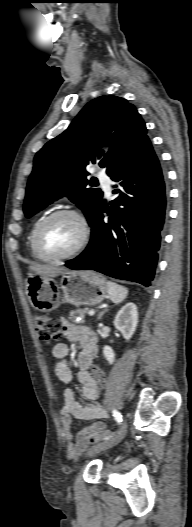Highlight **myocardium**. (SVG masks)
<instances>
[{"label":"myocardium","instance_id":"obj_1","mask_svg":"<svg viewBox=\"0 0 192 527\" xmlns=\"http://www.w3.org/2000/svg\"><path fill=\"white\" fill-rule=\"evenodd\" d=\"M62 215L73 216L74 218L78 220L81 226L80 240L77 243V245L70 252L66 254L58 255V256L48 255L43 251L42 246H41V233L43 229L45 228V226L52 219L58 216H62ZM90 234H91L90 224L86 216L80 210L75 209V208H60V209H57L51 212L47 216H45L37 225L35 232H34V239H33L34 249H35V252L38 258L43 261L52 262V263L61 262L64 260L71 259L77 256L80 252H82L83 249L86 247V245L89 242Z\"/></svg>","mask_w":192,"mask_h":527}]
</instances>
